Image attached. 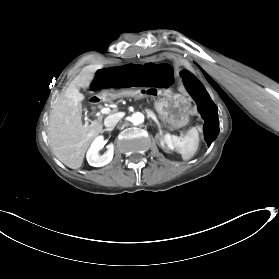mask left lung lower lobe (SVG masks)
I'll use <instances>...</instances> for the list:
<instances>
[{"instance_id": "0a47b994", "label": "left lung lower lobe", "mask_w": 279, "mask_h": 279, "mask_svg": "<svg viewBox=\"0 0 279 279\" xmlns=\"http://www.w3.org/2000/svg\"><path fill=\"white\" fill-rule=\"evenodd\" d=\"M181 76L184 78L189 93L197 102L199 112L205 121L203 126L204 138L208 146H210L218 134L219 120L217 107L212 102L203 85L194 75L184 70L181 72Z\"/></svg>"}]
</instances>
